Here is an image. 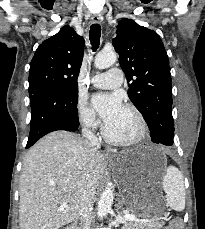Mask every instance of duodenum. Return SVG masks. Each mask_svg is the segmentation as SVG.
Returning <instances> with one entry per match:
<instances>
[{
	"mask_svg": "<svg viewBox=\"0 0 205 229\" xmlns=\"http://www.w3.org/2000/svg\"><path fill=\"white\" fill-rule=\"evenodd\" d=\"M77 225L76 226H73V227H70V228H65V229H77Z\"/></svg>",
	"mask_w": 205,
	"mask_h": 229,
	"instance_id": "duodenum-1",
	"label": "duodenum"
}]
</instances>
